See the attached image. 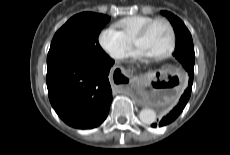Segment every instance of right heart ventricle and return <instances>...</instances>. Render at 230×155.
Returning a JSON list of instances; mask_svg holds the SVG:
<instances>
[{
  "label": "right heart ventricle",
  "instance_id": "obj_1",
  "mask_svg": "<svg viewBox=\"0 0 230 155\" xmlns=\"http://www.w3.org/2000/svg\"><path fill=\"white\" fill-rule=\"evenodd\" d=\"M154 17L147 15H133L120 19L115 23L116 28L130 41L139 30Z\"/></svg>",
  "mask_w": 230,
  "mask_h": 155
}]
</instances>
